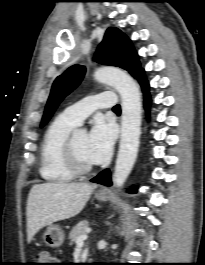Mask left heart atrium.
Wrapping results in <instances>:
<instances>
[{
  "mask_svg": "<svg viewBox=\"0 0 205 265\" xmlns=\"http://www.w3.org/2000/svg\"><path fill=\"white\" fill-rule=\"evenodd\" d=\"M115 133L112 126L97 119L87 138L86 151L93 164L106 161L113 150Z\"/></svg>",
  "mask_w": 205,
  "mask_h": 265,
  "instance_id": "39dd6f15",
  "label": "left heart atrium"
}]
</instances>
